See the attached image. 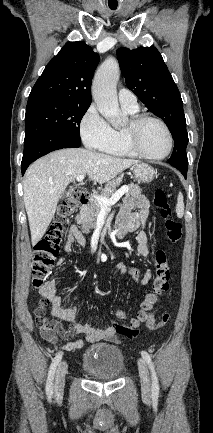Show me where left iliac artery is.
Returning a JSON list of instances; mask_svg holds the SVG:
<instances>
[{
	"instance_id": "obj_1",
	"label": "left iliac artery",
	"mask_w": 213,
	"mask_h": 433,
	"mask_svg": "<svg viewBox=\"0 0 213 433\" xmlns=\"http://www.w3.org/2000/svg\"><path fill=\"white\" fill-rule=\"evenodd\" d=\"M141 355L143 357V359L146 361V363L148 364L151 373H152V398L153 399H158L159 396V383H158V378L155 372V368L151 359V356L146 352V351H142Z\"/></svg>"
}]
</instances>
